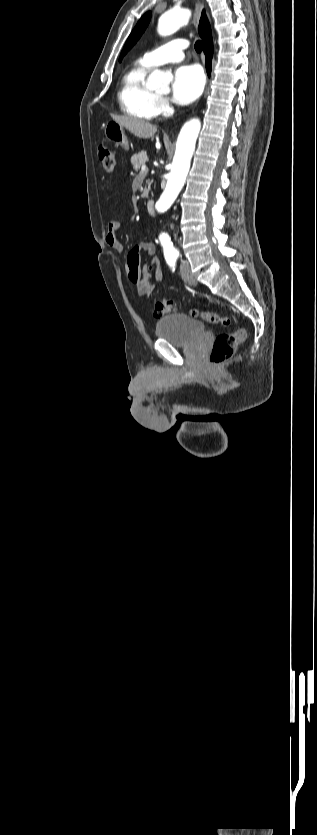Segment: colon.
I'll return each mask as SVG.
<instances>
[{
  "label": "colon",
  "instance_id": "colon-1",
  "mask_svg": "<svg viewBox=\"0 0 317 835\" xmlns=\"http://www.w3.org/2000/svg\"><path fill=\"white\" fill-rule=\"evenodd\" d=\"M98 156L103 169L109 173L113 172L116 162L114 153L106 146H100L98 149ZM147 269H149V267ZM174 311L175 304L173 301L168 299H157L155 301V316H162ZM191 315L210 324L228 326L231 322L228 317L211 311H198L194 309L191 311ZM246 335V330L244 328H239L233 333H222L217 335L209 353V365L216 367L223 364L233 355L236 346L245 340Z\"/></svg>",
  "mask_w": 317,
  "mask_h": 835
}]
</instances>
